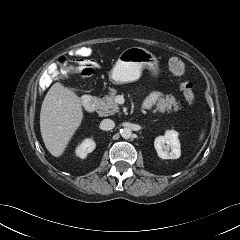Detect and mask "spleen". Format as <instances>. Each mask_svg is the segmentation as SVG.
Listing matches in <instances>:
<instances>
[{"instance_id": "1", "label": "spleen", "mask_w": 240, "mask_h": 240, "mask_svg": "<svg viewBox=\"0 0 240 240\" xmlns=\"http://www.w3.org/2000/svg\"><path fill=\"white\" fill-rule=\"evenodd\" d=\"M204 136V132L202 131V133L200 134L199 140H202Z\"/></svg>"}]
</instances>
